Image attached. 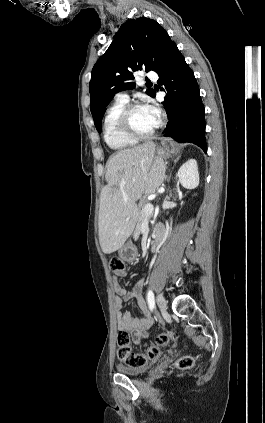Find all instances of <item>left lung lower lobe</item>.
Instances as JSON below:
<instances>
[{
  "label": "left lung lower lobe",
  "instance_id": "left-lung-lower-lobe-1",
  "mask_svg": "<svg viewBox=\"0 0 265 423\" xmlns=\"http://www.w3.org/2000/svg\"><path fill=\"white\" fill-rule=\"evenodd\" d=\"M157 73L158 83L163 85L161 90L168 93L162 102L169 119L164 136L194 143L206 152L205 112L199 88L193 71L174 42L170 41L165 48Z\"/></svg>",
  "mask_w": 265,
  "mask_h": 423
}]
</instances>
